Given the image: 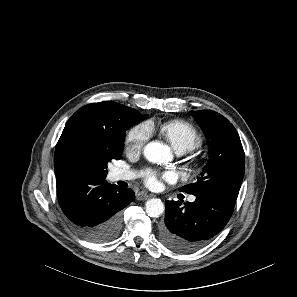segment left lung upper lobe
I'll use <instances>...</instances> for the list:
<instances>
[{
    "instance_id": "1",
    "label": "left lung upper lobe",
    "mask_w": 297,
    "mask_h": 297,
    "mask_svg": "<svg viewBox=\"0 0 297 297\" xmlns=\"http://www.w3.org/2000/svg\"><path fill=\"white\" fill-rule=\"evenodd\" d=\"M193 116L210 140L211 151L196 183L186 185L180 191L193 195L213 190L239 192L245 171V155L234 126L211 110H200Z\"/></svg>"
}]
</instances>
